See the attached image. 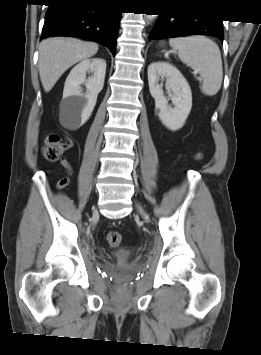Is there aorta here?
<instances>
[{
    "mask_svg": "<svg viewBox=\"0 0 261 355\" xmlns=\"http://www.w3.org/2000/svg\"><path fill=\"white\" fill-rule=\"evenodd\" d=\"M156 15H147L146 19L149 21H152L153 19H155Z\"/></svg>",
    "mask_w": 261,
    "mask_h": 355,
    "instance_id": "aorta-1",
    "label": "aorta"
}]
</instances>
